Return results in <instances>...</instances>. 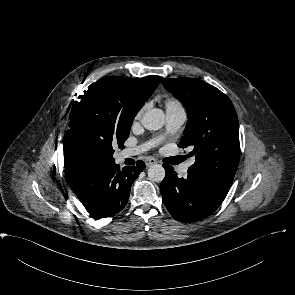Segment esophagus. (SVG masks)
Segmentation results:
<instances>
[{"instance_id":"esophagus-1","label":"esophagus","mask_w":295,"mask_h":295,"mask_svg":"<svg viewBox=\"0 0 295 295\" xmlns=\"http://www.w3.org/2000/svg\"><path fill=\"white\" fill-rule=\"evenodd\" d=\"M157 162H158L157 159H155V158H153V157H147V158L145 159V164H146L147 166L154 165V164H156Z\"/></svg>"}]
</instances>
